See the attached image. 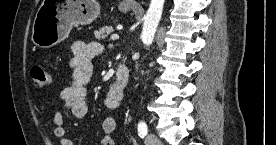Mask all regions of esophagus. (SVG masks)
I'll list each match as a JSON object with an SVG mask.
<instances>
[{
	"instance_id": "1",
	"label": "esophagus",
	"mask_w": 276,
	"mask_h": 145,
	"mask_svg": "<svg viewBox=\"0 0 276 145\" xmlns=\"http://www.w3.org/2000/svg\"><path fill=\"white\" fill-rule=\"evenodd\" d=\"M126 3L131 4V5H137V2L134 0H126Z\"/></svg>"
}]
</instances>
